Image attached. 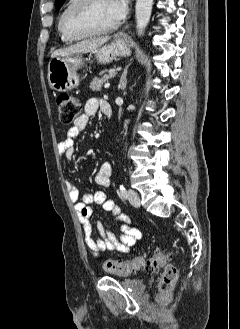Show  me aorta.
Segmentation results:
<instances>
[{"mask_svg": "<svg viewBox=\"0 0 240 329\" xmlns=\"http://www.w3.org/2000/svg\"><path fill=\"white\" fill-rule=\"evenodd\" d=\"M153 0H136L135 16L137 22L138 35H143L145 28L147 27L151 12H152Z\"/></svg>", "mask_w": 240, "mask_h": 329, "instance_id": "1", "label": "aorta"}]
</instances>
